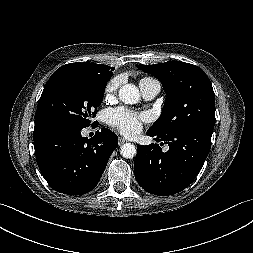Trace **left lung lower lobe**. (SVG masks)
Wrapping results in <instances>:
<instances>
[{
	"instance_id": "0a47b994",
	"label": "left lung lower lobe",
	"mask_w": 253,
	"mask_h": 253,
	"mask_svg": "<svg viewBox=\"0 0 253 253\" xmlns=\"http://www.w3.org/2000/svg\"><path fill=\"white\" fill-rule=\"evenodd\" d=\"M213 128L197 126L161 137L147 131L157 142L168 144L162 152L158 144H137L135 177L149 193L167 196L185 189L197 176L210 151Z\"/></svg>"
}]
</instances>
